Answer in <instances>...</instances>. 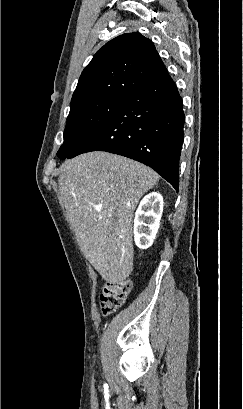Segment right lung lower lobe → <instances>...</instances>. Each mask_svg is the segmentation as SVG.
<instances>
[{"instance_id": "right-lung-lower-lobe-1", "label": "right lung lower lobe", "mask_w": 243, "mask_h": 409, "mask_svg": "<svg viewBox=\"0 0 243 409\" xmlns=\"http://www.w3.org/2000/svg\"><path fill=\"white\" fill-rule=\"evenodd\" d=\"M184 121L182 99L166 75L128 96L67 158L91 151L126 156L153 168L178 191Z\"/></svg>"}]
</instances>
